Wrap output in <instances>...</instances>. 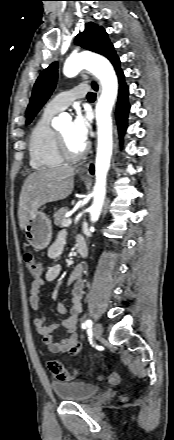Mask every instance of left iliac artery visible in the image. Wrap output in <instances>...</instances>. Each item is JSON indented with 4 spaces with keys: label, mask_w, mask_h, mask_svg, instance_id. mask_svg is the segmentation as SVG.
Returning <instances> with one entry per match:
<instances>
[{
    "label": "left iliac artery",
    "mask_w": 174,
    "mask_h": 440,
    "mask_svg": "<svg viewBox=\"0 0 174 440\" xmlns=\"http://www.w3.org/2000/svg\"><path fill=\"white\" fill-rule=\"evenodd\" d=\"M92 326V321L91 320H86L83 324H82V328L85 329L87 327H91Z\"/></svg>",
    "instance_id": "1"
}]
</instances>
